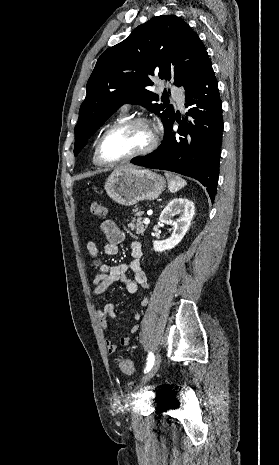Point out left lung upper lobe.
<instances>
[{"mask_svg": "<svg viewBox=\"0 0 279 465\" xmlns=\"http://www.w3.org/2000/svg\"><path fill=\"white\" fill-rule=\"evenodd\" d=\"M205 52L197 34L175 15L153 17L124 41L108 48L87 82V95L75 126L74 155L124 103L140 104L159 115L166 132L175 118L174 108L154 103L159 97L148 90L154 84L153 76L173 78L176 86L184 87ZM166 97L164 92L161 100Z\"/></svg>", "mask_w": 279, "mask_h": 465, "instance_id": "5c2ea615", "label": "left lung upper lobe"}]
</instances>
